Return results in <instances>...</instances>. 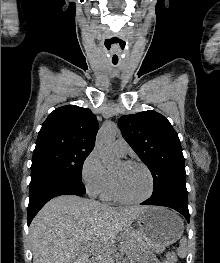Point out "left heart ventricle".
<instances>
[{
    "label": "left heart ventricle",
    "mask_w": 220,
    "mask_h": 263,
    "mask_svg": "<svg viewBox=\"0 0 220 263\" xmlns=\"http://www.w3.org/2000/svg\"><path fill=\"white\" fill-rule=\"evenodd\" d=\"M117 185L121 194L129 199H138L145 196L150 187L146 171L138 165H124L118 163L113 169Z\"/></svg>",
    "instance_id": "1"
}]
</instances>
